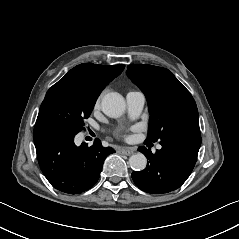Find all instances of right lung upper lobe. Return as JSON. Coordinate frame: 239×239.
Wrapping results in <instances>:
<instances>
[{"label": "right lung upper lobe", "instance_id": "right-lung-upper-lobe-1", "mask_svg": "<svg viewBox=\"0 0 239 239\" xmlns=\"http://www.w3.org/2000/svg\"><path fill=\"white\" fill-rule=\"evenodd\" d=\"M124 65L103 66L83 63L71 69L64 77L74 87L98 95L115 77L121 74Z\"/></svg>", "mask_w": 239, "mask_h": 239}]
</instances>
